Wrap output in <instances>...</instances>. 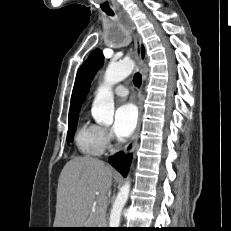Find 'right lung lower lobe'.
<instances>
[{"label":"right lung lower lobe","mask_w":231,"mask_h":231,"mask_svg":"<svg viewBox=\"0 0 231 231\" xmlns=\"http://www.w3.org/2000/svg\"><path fill=\"white\" fill-rule=\"evenodd\" d=\"M131 157V155L125 156L122 153H118L114 156L109 157V163L123 176H126L129 169Z\"/></svg>","instance_id":"1"}]
</instances>
